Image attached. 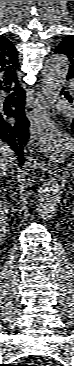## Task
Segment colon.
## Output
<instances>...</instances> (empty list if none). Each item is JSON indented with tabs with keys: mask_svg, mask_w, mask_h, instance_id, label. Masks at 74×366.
Instances as JSON below:
<instances>
[{
	"mask_svg": "<svg viewBox=\"0 0 74 366\" xmlns=\"http://www.w3.org/2000/svg\"><path fill=\"white\" fill-rule=\"evenodd\" d=\"M28 366H44L42 364H37V363H33V364H29Z\"/></svg>",
	"mask_w": 74,
	"mask_h": 366,
	"instance_id": "obj_1",
	"label": "colon"
}]
</instances>
